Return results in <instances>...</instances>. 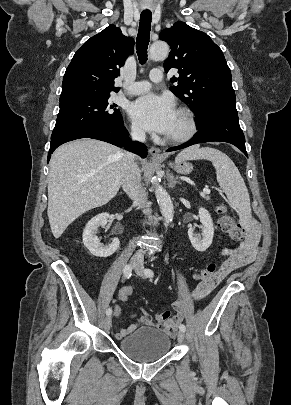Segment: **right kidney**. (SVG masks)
Returning <instances> with one entry per match:
<instances>
[{
  "mask_svg": "<svg viewBox=\"0 0 291 405\" xmlns=\"http://www.w3.org/2000/svg\"><path fill=\"white\" fill-rule=\"evenodd\" d=\"M109 214L101 213L93 217L86 225L83 231V243L88 248L89 252L97 257H109L116 252L120 246L118 238H114L109 245L100 243L96 235L99 227H104L108 222Z\"/></svg>",
  "mask_w": 291,
  "mask_h": 405,
  "instance_id": "ca27d5eb",
  "label": "right kidney"
}]
</instances>
